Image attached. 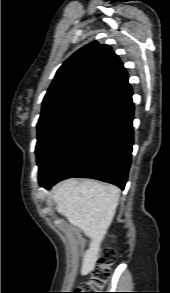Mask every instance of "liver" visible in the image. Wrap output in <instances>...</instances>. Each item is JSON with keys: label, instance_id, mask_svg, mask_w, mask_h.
Wrapping results in <instances>:
<instances>
[{"label": "liver", "instance_id": "liver-1", "mask_svg": "<svg viewBox=\"0 0 170 293\" xmlns=\"http://www.w3.org/2000/svg\"><path fill=\"white\" fill-rule=\"evenodd\" d=\"M51 196L57 211L90 238V248L81 267V274L87 275L95 266L101 243L115 216L120 189L94 180L72 178L56 185Z\"/></svg>", "mask_w": 170, "mask_h": 293}]
</instances>
